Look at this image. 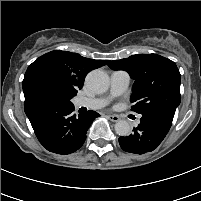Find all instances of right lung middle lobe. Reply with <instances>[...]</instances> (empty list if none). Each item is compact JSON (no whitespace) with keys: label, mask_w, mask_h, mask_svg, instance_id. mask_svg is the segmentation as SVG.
Segmentation results:
<instances>
[{"label":"right lung middle lobe","mask_w":201,"mask_h":201,"mask_svg":"<svg viewBox=\"0 0 201 201\" xmlns=\"http://www.w3.org/2000/svg\"><path fill=\"white\" fill-rule=\"evenodd\" d=\"M44 93L46 98L48 99L61 103H71L69 99H65L62 97L60 91L55 86L52 85L46 86L44 89Z\"/></svg>","instance_id":"1"}]
</instances>
